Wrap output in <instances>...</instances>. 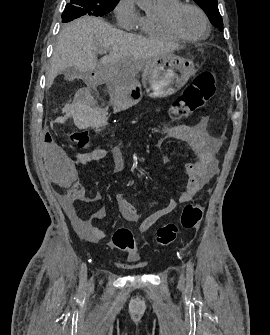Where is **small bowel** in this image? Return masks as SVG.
Masks as SVG:
<instances>
[{
    "mask_svg": "<svg viewBox=\"0 0 270 335\" xmlns=\"http://www.w3.org/2000/svg\"><path fill=\"white\" fill-rule=\"evenodd\" d=\"M208 120L204 119L195 126H173L166 129V136L169 138L182 139L190 142L198 155V161L187 163L185 171L187 175V186L178 199H170L165 206L141 219L137 209L129 202L122 193L115 195V200L123 218L128 222L138 223V230L145 233L151 229L164 216L172 213L179 204L187 203L200 192L217 174L218 166L216 155L220 148V143L211 138L207 133ZM46 151L48 158H42V165H49L48 171H45V178H69L64 186L68 188L63 196L64 206L68 217L75 229L86 240L99 242L105 238V234L100 229L93 226L89 218L81 216L78 205L100 202L102 196L100 193L89 196L85 187L75 178H80V171H76V166L87 165L104 159L107 151L104 148H97L89 152L80 153L76 158H66V149L57 147L53 144L54 136L46 135ZM113 160V173L119 174L125 170V161L122 151L119 147L111 149ZM106 216V210L99 208L94 217L103 219Z\"/></svg>",
    "mask_w": 270,
    "mask_h": 335,
    "instance_id": "1",
    "label": "small bowel"
}]
</instances>
